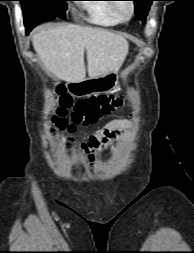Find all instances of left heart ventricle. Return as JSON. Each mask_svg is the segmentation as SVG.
Masks as SVG:
<instances>
[{"instance_id":"b2bd125f","label":"left heart ventricle","mask_w":194,"mask_h":253,"mask_svg":"<svg viewBox=\"0 0 194 253\" xmlns=\"http://www.w3.org/2000/svg\"><path fill=\"white\" fill-rule=\"evenodd\" d=\"M119 8L124 16H128L131 11V4L129 1L119 2Z\"/></svg>"}]
</instances>
